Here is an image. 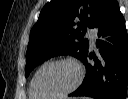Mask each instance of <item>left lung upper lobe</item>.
<instances>
[{
    "label": "left lung upper lobe",
    "mask_w": 128,
    "mask_h": 99,
    "mask_svg": "<svg viewBox=\"0 0 128 99\" xmlns=\"http://www.w3.org/2000/svg\"><path fill=\"white\" fill-rule=\"evenodd\" d=\"M106 2L52 0L47 3L30 32L25 76L50 57L69 54L81 60L88 51V40L82 39L86 26L95 27ZM76 23L79 27L74 30Z\"/></svg>",
    "instance_id": "left-lung-upper-lobe-1"
}]
</instances>
